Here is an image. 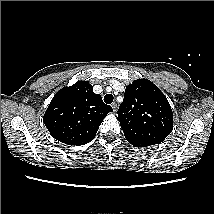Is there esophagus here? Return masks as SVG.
Instances as JSON below:
<instances>
[{"instance_id": "esophagus-1", "label": "esophagus", "mask_w": 214, "mask_h": 214, "mask_svg": "<svg viewBox=\"0 0 214 214\" xmlns=\"http://www.w3.org/2000/svg\"><path fill=\"white\" fill-rule=\"evenodd\" d=\"M112 108H113V111L116 112L117 110V104L114 102L111 104Z\"/></svg>"}]
</instances>
